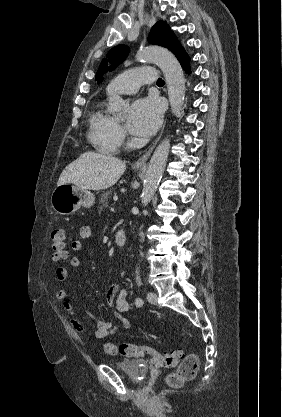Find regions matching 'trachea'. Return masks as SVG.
<instances>
[{
	"mask_svg": "<svg viewBox=\"0 0 282 417\" xmlns=\"http://www.w3.org/2000/svg\"><path fill=\"white\" fill-rule=\"evenodd\" d=\"M164 80H162V78H158L157 80V85H164Z\"/></svg>",
	"mask_w": 282,
	"mask_h": 417,
	"instance_id": "3493384b",
	"label": "trachea"
}]
</instances>
